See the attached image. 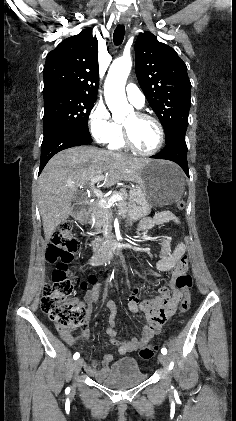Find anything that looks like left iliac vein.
<instances>
[{"mask_svg":"<svg viewBox=\"0 0 236 421\" xmlns=\"http://www.w3.org/2000/svg\"><path fill=\"white\" fill-rule=\"evenodd\" d=\"M158 360L164 365V367L168 366L169 360L168 357L164 354H158Z\"/></svg>","mask_w":236,"mask_h":421,"instance_id":"4c4485c4","label":"left iliac vein"}]
</instances>
